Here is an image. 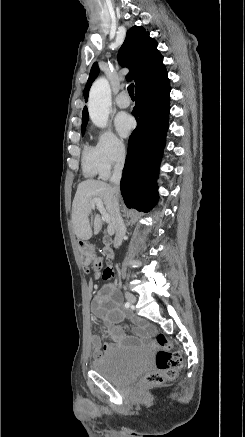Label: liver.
Masks as SVG:
<instances>
[{
	"mask_svg": "<svg viewBox=\"0 0 245 437\" xmlns=\"http://www.w3.org/2000/svg\"><path fill=\"white\" fill-rule=\"evenodd\" d=\"M114 197L112 185L96 180H86L78 185L72 204V223L78 239L88 240L93 233L96 235L102 229V219L95 216L93 230L89 216L91 214L90 202L93 198H100L106 212L109 214L108 233L113 235L116 231V217L114 210ZM119 194L117 195V198Z\"/></svg>",
	"mask_w": 245,
	"mask_h": 437,
	"instance_id": "liver-1",
	"label": "liver"
}]
</instances>
